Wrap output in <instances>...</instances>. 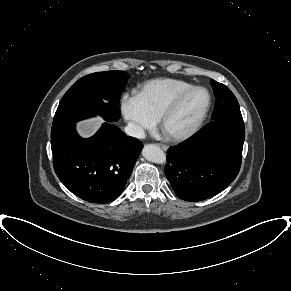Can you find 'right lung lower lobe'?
I'll list each match as a JSON object with an SVG mask.
<instances>
[{
    "label": "right lung lower lobe",
    "mask_w": 291,
    "mask_h": 291,
    "mask_svg": "<svg viewBox=\"0 0 291 291\" xmlns=\"http://www.w3.org/2000/svg\"><path fill=\"white\" fill-rule=\"evenodd\" d=\"M142 146L110 123L88 139L77 134L75 125L51 138L54 170L61 182L78 197L102 204L123 192Z\"/></svg>",
    "instance_id": "1"
}]
</instances>
